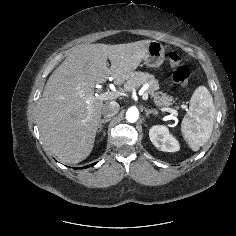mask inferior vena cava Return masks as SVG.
<instances>
[{
  "mask_svg": "<svg viewBox=\"0 0 236 236\" xmlns=\"http://www.w3.org/2000/svg\"><path fill=\"white\" fill-rule=\"evenodd\" d=\"M120 110V106L115 101H108L102 107V115L104 117H113Z\"/></svg>",
  "mask_w": 236,
  "mask_h": 236,
  "instance_id": "1",
  "label": "inferior vena cava"
}]
</instances>
